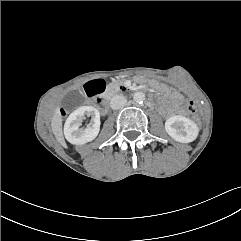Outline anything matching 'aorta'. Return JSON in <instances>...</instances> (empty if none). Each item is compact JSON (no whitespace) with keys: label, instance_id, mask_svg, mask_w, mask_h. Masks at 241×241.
Segmentation results:
<instances>
[{"label":"aorta","instance_id":"obj_1","mask_svg":"<svg viewBox=\"0 0 241 241\" xmlns=\"http://www.w3.org/2000/svg\"><path fill=\"white\" fill-rule=\"evenodd\" d=\"M133 100H134L136 103H142L143 100H145V94L142 93V92H136V93H134V95H133Z\"/></svg>","mask_w":241,"mask_h":241}]
</instances>
